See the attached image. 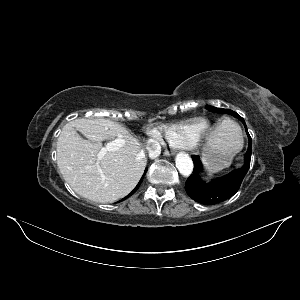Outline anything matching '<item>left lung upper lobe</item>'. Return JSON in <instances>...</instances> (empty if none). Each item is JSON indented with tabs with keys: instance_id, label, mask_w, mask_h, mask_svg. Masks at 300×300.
Returning <instances> with one entry per match:
<instances>
[{
	"instance_id": "1",
	"label": "left lung upper lobe",
	"mask_w": 300,
	"mask_h": 300,
	"mask_svg": "<svg viewBox=\"0 0 300 300\" xmlns=\"http://www.w3.org/2000/svg\"><path fill=\"white\" fill-rule=\"evenodd\" d=\"M207 108L212 111V112H216V113H229V114H232L233 116L239 118L243 123L244 120L242 117H240L236 112L232 111V110H229V109H222V108H216V107H213V106H207Z\"/></svg>"
}]
</instances>
